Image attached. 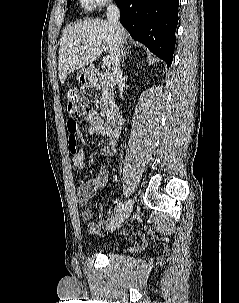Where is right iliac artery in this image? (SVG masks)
Segmentation results:
<instances>
[{
    "instance_id": "obj_1",
    "label": "right iliac artery",
    "mask_w": 239,
    "mask_h": 303,
    "mask_svg": "<svg viewBox=\"0 0 239 303\" xmlns=\"http://www.w3.org/2000/svg\"><path fill=\"white\" fill-rule=\"evenodd\" d=\"M123 206H124L123 203L119 202L116 208V212L120 211L123 208Z\"/></svg>"
}]
</instances>
